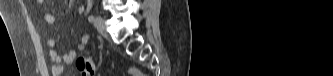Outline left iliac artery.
<instances>
[{"instance_id": "1", "label": "left iliac artery", "mask_w": 333, "mask_h": 76, "mask_svg": "<svg viewBox=\"0 0 333 76\" xmlns=\"http://www.w3.org/2000/svg\"><path fill=\"white\" fill-rule=\"evenodd\" d=\"M88 20H89L90 22H93V21H95V17H94L93 15H90V16L88 17Z\"/></svg>"}]
</instances>
